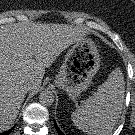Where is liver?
<instances>
[{
	"label": "liver",
	"mask_w": 135,
	"mask_h": 135,
	"mask_svg": "<svg viewBox=\"0 0 135 135\" xmlns=\"http://www.w3.org/2000/svg\"><path fill=\"white\" fill-rule=\"evenodd\" d=\"M83 36V31L64 24L0 26V132L15 122L28 92L25 87L29 84L30 91L38 92L45 68Z\"/></svg>",
	"instance_id": "6515ba94"
}]
</instances>
